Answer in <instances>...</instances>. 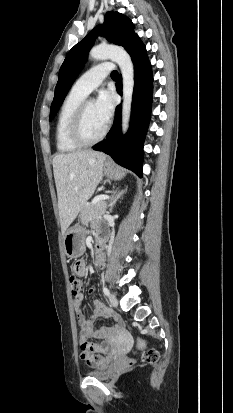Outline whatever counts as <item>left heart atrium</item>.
Wrapping results in <instances>:
<instances>
[{"label": "left heart atrium", "instance_id": "obj_1", "mask_svg": "<svg viewBox=\"0 0 233 413\" xmlns=\"http://www.w3.org/2000/svg\"><path fill=\"white\" fill-rule=\"evenodd\" d=\"M95 108L104 123H108L114 112L113 96L108 91H101L95 101Z\"/></svg>", "mask_w": 233, "mask_h": 413}]
</instances>
